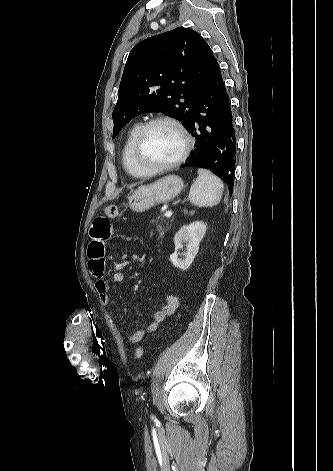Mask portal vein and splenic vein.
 <instances>
[{
	"label": "portal vein and splenic vein",
	"instance_id": "1",
	"mask_svg": "<svg viewBox=\"0 0 333 471\" xmlns=\"http://www.w3.org/2000/svg\"><path fill=\"white\" fill-rule=\"evenodd\" d=\"M172 214H173L172 211H167V212L164 213V216L165 217H171Z\"/></svg>",
	"mask_w": 333,
	"mask_h": 471
}]
</instances>
